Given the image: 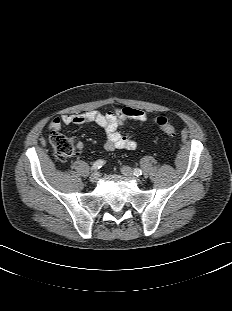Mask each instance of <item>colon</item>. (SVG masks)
Here are the masks:
<instances>
[{"mask_svg": "<svg viewBox=\"0 0 232 311\" xmlns=\"http://www.w3.org/2000/svg\"><path fill=\"white\" fill-rule=\"evenodd\" d=\"M155 122L169 138H175L176 129L165 117H158ZM50 143L55 151L56 157L59 160H66L75 154L76 150L74 142L66 135L59 132H52L50 135Z\"/></svg>", "mask_w": 232, "mask_h": 311, "instance_id": "5ec220e1", "label": "colon"}]
</instances>
